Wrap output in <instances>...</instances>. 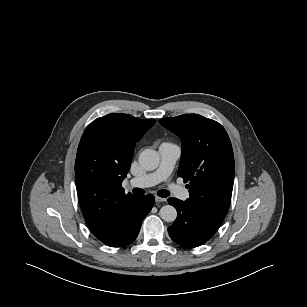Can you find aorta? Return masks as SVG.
Listing matches in <instances>:
<instances>
[{
    "mask_svg": "<svg viewBox=\"0 0 307 307\" xmlns=\"http://www.w3.org/2000/svg\"><path fill=\"white\" fill-rule=\"evenodd\" d=\"M139 164L145 170L151 171L158 167L160 157L158 152L152 149L143 150L138 158ZM159 215L166 222H173L177 217L176 209L171 205H165L160 209Z\"/></svg>",
    "mask_w": 307,
    "mask_h": 307,
    "instance_id": "762f6f07",
    "label": "aorta"
}]
</instances>
